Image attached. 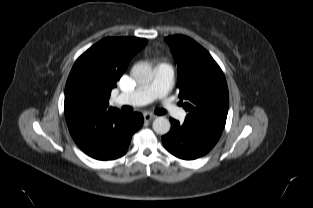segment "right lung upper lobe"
I'll use <instances>...</instances> for the list:
<instances>
[{"label":"right lung upper lobe","instance_id":"cb5924a9","mask_svg":"<svg viewBox=\"0 0 313 208\" xmlns=\"http://www.w3.org/2000/svg\"><path fill=\"white\" fill-rule=\"evenodd\" d=\"M146 44L143 38L107 37L84 52L66 82L65 113L111 109V90L131 58Z\"/></svg>","mask_w":313,"mask_h":208}]
</instances>
